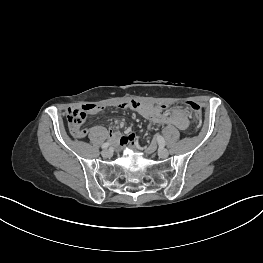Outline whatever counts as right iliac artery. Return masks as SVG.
<instances>
[{"label":"right iliac artery","instance_id":"1","mask_svg":"<svg viewBox=\"0 0 263 263\" xmlns=\"http://www.w3.org/2000/svg\"><path fill=\"white\" fill-rule=\"evenodd\" d=\"M110 146V143L109 142H106L102 145V149H106Z\"/></svg>","mask_w":263,"mask_h":263}]
</instances>
